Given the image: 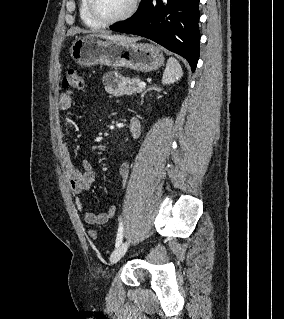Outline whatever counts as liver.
<instances>
[{"label":"liver","mask_w":284,"mask_h":319,"mask_svg":"<svg viewBox=\"0 0 284 319\" xmlns=\"http://www.w3.org/2000/svg\"><path fill=\"white\" fill-rule=\"evenodd\" d=\"M89 36H96L106 40L120 41L122 43L137 42L139 40V38H132L125 35H111L109 33H101L98 35H89Z\"/></svg>","instance_id":"liver-1"}]
</instances>
